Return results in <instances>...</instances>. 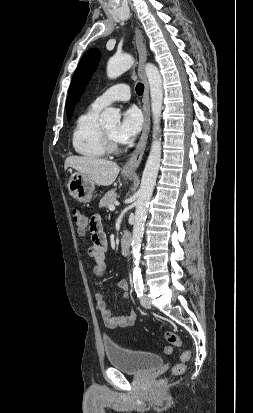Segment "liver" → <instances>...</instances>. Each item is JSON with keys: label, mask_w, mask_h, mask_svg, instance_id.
Listing matches in <instances>:
<instances>
[{"label": "liver", "mask_w": 253, "mask_h": 413, "mask_svg": "<svg viewBox=\"0 0 253 413\" xmlns=\"http://www.w3.org/2000/svg\"><path fill=\"white\" fill-rule=\"evenodd\" d=\"M68 167L85 174L91 181L101 186L111 185L120 171L116 162L91 156H70L66 158L64 164L65 170Z\"/></svg>", "instance_id": "obj_1"}]
</instances>
